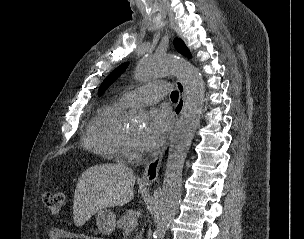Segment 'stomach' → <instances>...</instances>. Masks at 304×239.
<instances>
[{"instance_id":"stomach-1","label":"stomach","mask_w":304,"mask_h":239,"mask_svg":"<svg viewBox=\"0 0 304 239\" xmlns=\"http://www.w3.org/2000/svg\"><path fill=\"white\" fill-rule=\"evenodd\" d=\"M96 224L98 230L102 234L109 235L115 230L116 216L110 210L107 209L100 210L96 217Z\"/></svg>"}]
</instances>
